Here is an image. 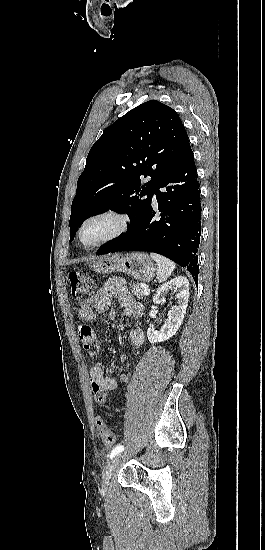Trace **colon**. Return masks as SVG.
Returning a JSON list of instances; mask_svg holds the SVG:
<instances>
[{
    "label": "colon",
    "instance_id": "5ec220e1",
    "mask_svg": "<svg viewBox=\"0 0 265 550\" xmlns=\"http://www.w3.org/2000/svg\"><path fill=\"white\" fill-rule=\"evenodd\" d=\"M68 279L72 296L75 298L90 295L95 290V281L84 271L71 270L68 274ZM93 395L99 404H104L107 400V395L97 385H93ZM96 427L104 445L108 447L112 446L115 442L114 434L102 418L96 419Z\"/></svg>",
    "mask_w": 265,
    "mask_h": 550
}]
</instances>
